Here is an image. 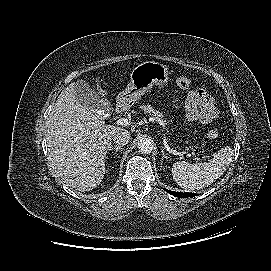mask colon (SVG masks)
<instances>
[{
	"mask_svg": "<svg viewBox=\"0 0 271 271\" xmlns=\"http://www.w3.org/2000/svg\"><path fill=\"white\" fill-rule=\"evenodd\" d=\"M177 85L182 89H189L191 87V80L187 77H179L177 79ZM218 130L217 129H211L208 131V138L215 139L218 137Z\"/></svg>",
	"mask_w": 271,
	"mask_h": 271,
	"instance_id": "obj_1",
	"label": "colon"
}]
</instances>
